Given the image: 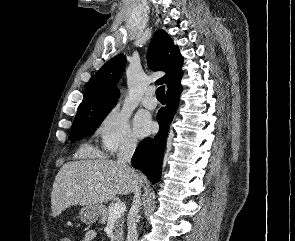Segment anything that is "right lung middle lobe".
<instances>
[{
	"mask_svg": "<svg viewBox=\"0 0 295 241\" xmlns=\"http://www.w3.org/2000/svg\"><path fill=\"white\" fill-rule=\"evenodd\" d=\"M115 104L116 102H112L103 106L79 109L75 116L69 139L71 141H78L92 135Z\"/></svg>",
	"mask_w": 295,
	"mask_h": 241,
	"instance_id": "obj_1",
	"label": "right lung middle lobe"
}]
</instances>
